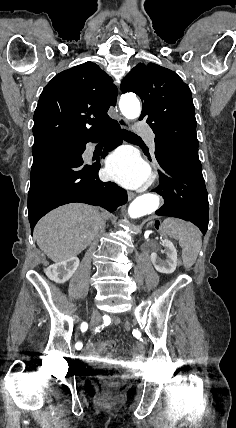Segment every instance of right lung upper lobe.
Instances as JSON below:
<instances>
[{
	"label": "right lung upper lobe",
	"instance_id": "1",
	"mask_svg": "<svg viewBox=\"0 0 236 428\" xmlns=\"http://www.w3.org/2000/svg\"><path fill=\"white\" fill-rule=\"evenodd\" d=\"M116 99L111 77L93 62L59 73L40 95L33 117L34 144L95 133L113 121L107 111Z\"/></svg>",
	"mask_w": 236,
	"mask_h": 428
}]
</instances>
